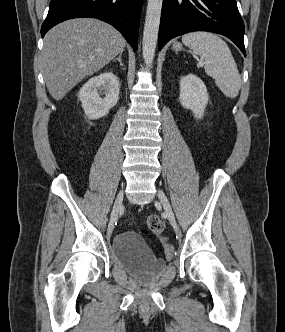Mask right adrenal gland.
<instances>
[{
  "instance_id": "1",
  "label": "right adrenal gland",
  "mask_w": 285,
  "mask_h": 332,
  "mask_svg": "<svg viewBox=\"0 0 285 332\" xmlns=\"http://www.w3.org/2000/svg\"><path fill=\"white\" fill-rule=\"evenodd\" d=\"M122 53H120L119 54V56L116 58V59H114L113 61H118L119 62V64H120V66H123V63H122Z\"/></svg>"
}]
</instances>
